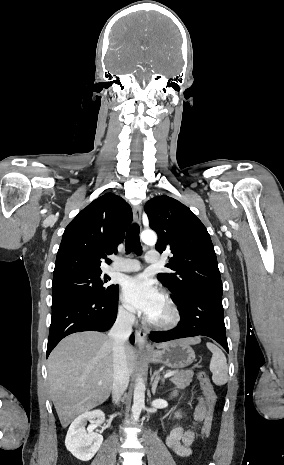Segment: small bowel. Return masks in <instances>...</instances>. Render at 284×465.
<instances>
[{
  "instance_id": "c3829d8e",
  "label": "small bowel",
  "mask_w": 284,
  "mask_h": 465,
  "mask_svg": "<svg viewBox=\"0 0 284 465\" xmlns=\"http://www.w3.org/2000/svg\"><path fill=\"white\" fill-rule=\"evenodd\" d=\"M171 416L176 420L184 418V414L178 410L172 412ZM206 419V404L203 398H199L193 413L192 425L188 429H185L180 425L175 426L166 439L168 448L178 457L186 458L191 456V444L195 439V427Z\"/></svg>"
}]
</instances>
